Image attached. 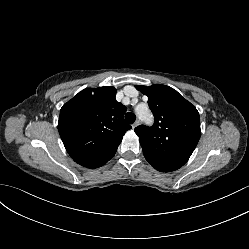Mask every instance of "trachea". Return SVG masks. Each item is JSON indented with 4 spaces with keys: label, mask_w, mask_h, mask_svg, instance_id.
I'll use <instances>...</instances> for the list:
<instances>
[{
    "label": "trachea",
    "mask_w": 249,
    "mask_h": 249,
    "mask_svg": "<svg viewBox=\"0 0 249 249\" xmlns=\"http://www.w3.org/2000/svg\"><path fill=\"white\" fill-rule=\"evenodd\" d=\"M125 120L129 124H133L136 120V116L131 112H127L125 115Z\"/></svg>",
    "instance_id": "trachea-1"
}]
</instances>
